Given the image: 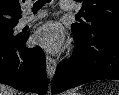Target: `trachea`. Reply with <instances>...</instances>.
Here are the masks:
<instances>
[{"label": "trachea", "mask_w": 119, "mask_h": 95, "mask_svg": "<svg viewBox=\"0 0 119 95\" xmlns=\"http://www.w3.org/2000/svg\"><path fill=\"white\" fill-rule=\"evenodd\" d=\"M46 2H50V0H38V1L34 4L33 13H36L37 10H39L40 8H42V6H44V4H45Z\"/></svg>", "instance_id": "trachea-1"}]
</instances>
